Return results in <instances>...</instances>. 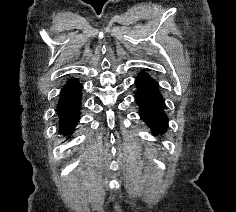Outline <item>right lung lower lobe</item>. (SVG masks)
I'll return each mask as SVG.
<instances>
[{
  "mask_svg": "<svg viewBox=\"0 0 236 212\" xmlns=\"http://www.w3.org/2000/svg\"><path fill=\"white\" fill-rule=\"evenodd\" d=\"M82 85L75 78L67 79L61 89L56 115L59 121V132L70 135L80 119Z\"/></svg>",
  "mask_w": 236,
  "mask_h": 212,
  "instance_id": "98d812e1",
  "label": "right lung lower lobe"
}]
</instances>
